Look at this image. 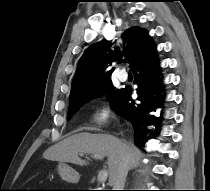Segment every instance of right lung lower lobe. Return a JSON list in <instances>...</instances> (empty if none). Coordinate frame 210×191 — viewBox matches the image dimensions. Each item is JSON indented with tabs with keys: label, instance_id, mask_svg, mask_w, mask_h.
<instances>
[{
	"label": "right lung lower lobe",
	"instance_id": "98d812e1",
	"mask_svg": "<svg viewBox=\"0 0 210 191\" xmlns=\"http://www.w3.org/2000/svg\"><path fill=\"white\" fill-rule=\"evenodd\" d=\"M131 67L135 76L134 83L137 84L136 101L131 98L132 87L126 86L121 89L111 105L131 122L135 131V142L143 146L151 135H156V131L147 127L152 124L157 127L162 117L155 121L156 118L149 114L161 107L160 104L163 102L162 84L158 78L159 64L156 57V45L153 41L138 55ZM153 95L156 96L153 97Z\"/></svg>",
	"mask_w": 210,
	"mask_h": 191
}]
</instances>
